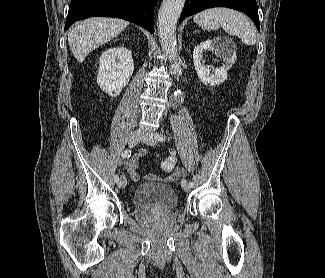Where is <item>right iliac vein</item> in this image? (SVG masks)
Returning <instances> with one entry per match:
<instances>
[{
	"label": "right iliac vein",
	"instance_id": "1",
	"mask_svg": "<svg viewBox=\"0 0 325 278\" xmlns=\"http://www.w3.org/2000/svg\"><path fill=\"white\" fill-rule=\"evenodd\" d=\"M141 136H142L141 130L134 131L129 138V146L134 147L139 142ZM126 185H127V179L124 175H122L118 182V187L125 188Z\"/></svg>",
	"mask_w": 325,
	"mask_h": 278
}]
</instances>
